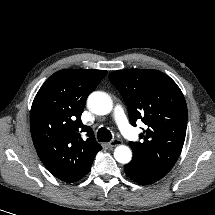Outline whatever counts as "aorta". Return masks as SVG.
Segmentation results:
<instances>
[{
    "mask_svg": "<svg viewBox=\"0 0 215 215\" xmlns=\"http://www.w3.org/2000/svg\"><path fill=\"white\" fill-rule=\"evenodd\" d=\"M89 108L98 115H106L112 110V102L108 95L103 92H93L88 97ZM114 157L117 162L126 164L130 162L132 153L131 150L124 145L116 147Z\"/></svg>",
    "mask_w": 215,
    "mask_h": 215,
    "instance_id": "1",
    "label": "aorta"
}]
</instances>
